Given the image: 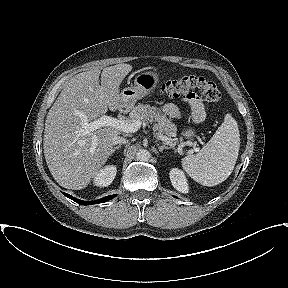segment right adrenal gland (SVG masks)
Instances as JSON below:
<instances>
[{
  "instance_id": "obj_1",
  "label": "right adrenal gland",
  "mask_w": 288,
  "mask_h": 288,
  "mask_svg": "<svg viewBox=\"0 0 288 288\" xmlns=\"http://www.w3.org/2000/svg\"><path fill=\"white\" fill-rule=\"evenodd\" d=\"M120 148H121V145H118V146L114 147L113 153H114L116 150L120 149Z\"/></svg>"
}]
</instances>
